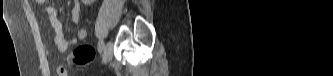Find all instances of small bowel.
Segmentation results:
<instances>
[{
	"label": "small bowel",
	"mask_w": 333,
	"mask_h": 76,
	"mask_svg": "<svg viewBox=\"0 0 333 76\" xmlns=\"http://www.w3.org/2000/svg\"><path fill=\"white\" fill-rule=\"evenodd\" d=\"M38 2H45L40 0ZM45 11L49 16L52 28L54 29V43L56 51L59 53L66 52L70 47L76 45L79 41L86 38L87 32L85 29H78L76 36L70 39H66L63 33V27L61 21L57 17V11L53 6H46ZM81 13V2L78 0L73 1V7L71 10V23L73 25H78L80 21ZM59 76H65L66 72L63 68L58 69Z\"/></svg>",
	"instance_id": "small-bowel-1"
}]
</instances>
